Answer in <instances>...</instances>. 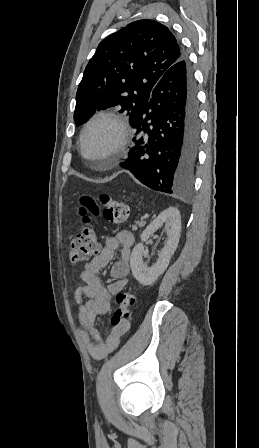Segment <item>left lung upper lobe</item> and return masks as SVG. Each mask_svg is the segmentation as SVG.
<instances>
[{"mask_svg": "<svg viewBox=\"0 0 259 448\" xmlns=\"http://www.w3.org/2000/svg\"><path fill=\"white\" fill-rule=\"evenodd\" d=\"M183 56L172 32L154 20H138L105 38L85 68L76 94L74 120L121 106L130 116L145 107L163 74Z\"/></svg>", "mask_w": 259, "mask_h": 448, "instance_id": "5c2ea615", "label": "left lung upper lobe"}]
</instances>
